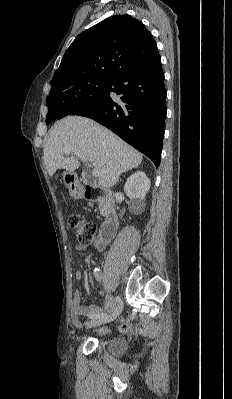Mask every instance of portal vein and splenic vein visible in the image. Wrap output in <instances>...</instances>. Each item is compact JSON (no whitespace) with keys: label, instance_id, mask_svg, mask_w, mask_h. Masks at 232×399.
<instances>
[{"label":"portal vein and splenic vein","instance_id":"1","mask_svg":"<svg viewBox=\"0 0 232 399\" xmlns=\"http://www.w3.org/2000/svg\"><path fill=\"white\" fill-rule=\"evenodd\" d=\"M63 152H64V154H67V156H69V154H75V156H77V158H80V160H83V162H88V160H85V158H83V156H81V154H79V152H76V150H74V148H70V146H64ZM88 166H89V164H88ZM92 176H94V178H98V176H99V172H98V170H95V168L92 172Z\"/></svg>","mask_w":232,"mask_h":399}]
</instances>
